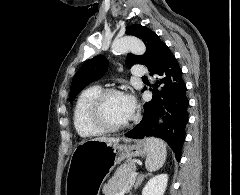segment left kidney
Segmentation results:
<instances>
[{
	"label": "left kidney",
	"instance_id": "left-kidney-1",
	"mask_svg": "<svg viewBox=\"0 0 240 195\" xmlns=\"http://www.w3.org/2000/svg\"><path fill=\"white\" fill-rule=\"evenodd\" d=\"M168 175L167 173H159L154 175L147 181L145 187L142 189V195H164L167 187Z\"/></svg>",
	"mask_w": 240,
	"mask_h": 195
}]
</instances>
